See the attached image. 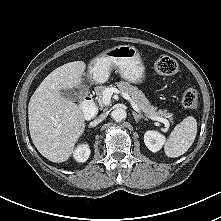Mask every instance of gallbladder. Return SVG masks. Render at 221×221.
<instances>
[{"instance_id":"obj_1","label":"gallbladder","mask_w":221,"mask_h":221,"mask_svg":"<svg viewBox=\"0 0 221 221\" xmlns=\"http://www.w3.org/2000/svg\"><path fill=\"white\" fill-rule=\"evenodd\" d=\"M60 94L62 97L66 98L68 100H71V101H77L80 98V95L71 89H62L60 91Z\"/></svg>"}]
</instances>
